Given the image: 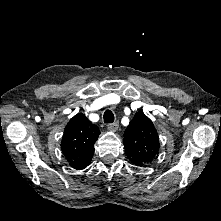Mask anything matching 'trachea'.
<instances>
[{
    "label": "trachea",
    "mask_w": 221,
    "mask_h": 221,
    "mask_svg": "<svg viewBox=\"0 0 221 221\" xmlns=\"http://www.w3.org/2000/svg\"><path fill=\"white\" fill-rule=\"evenodd\" d=\"M104 122L105 123H112L114 122V114L110 110H106L104 112Z\"/></svg>",
    "instance_id": "1"
}]
</instances>
